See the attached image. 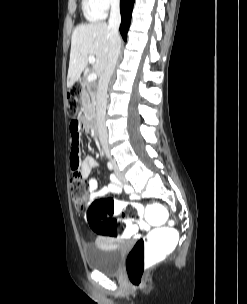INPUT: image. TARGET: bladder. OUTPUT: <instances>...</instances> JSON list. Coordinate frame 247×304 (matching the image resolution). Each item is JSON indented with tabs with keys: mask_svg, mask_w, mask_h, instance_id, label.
Here are the masks:
<instances>
[{
	"mask_svg": "<svg viewBox=\"0 0 247 304\" xmlns=\"http://www.w3.org/2000/svg\"><path fill=\"white\" fill-rule=\"evenodd\" d=\"M124 254V245L108 238L98 239L84 249L86 265L90 270L116 273Z\"/></svg>",
	"mask_w": 247,
	"mask_h": 304,
	"instance_id": "bladder-1",
	"label": "bladder"
}]
</instances>
